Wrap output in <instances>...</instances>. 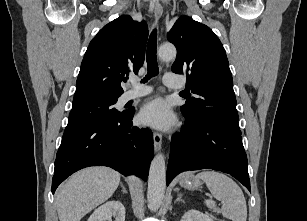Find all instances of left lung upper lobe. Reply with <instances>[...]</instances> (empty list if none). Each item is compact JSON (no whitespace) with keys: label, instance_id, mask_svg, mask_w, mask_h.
Returning a JSON list of instances; mask_svg holds the SVG:
<instances>
[{"label":"left lung upper lobe","instance_id":"obj_1","mask_svg":"<svg viewBox=\"0 0 307 221\" xmlns=\"http://www.w3.org/2000/svg\"><path fill=\"white\" fill-rule=\"evenodd\" d=\"M176 46L172 71L186 74L190 97L181 106L188 120H212L241 133L228 59L220 40L206 25L180 17L167 34Z\"/></svg>","mask_w":307,"mask_h":221}]
</instances>
